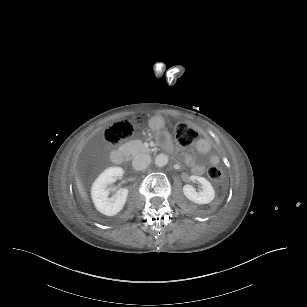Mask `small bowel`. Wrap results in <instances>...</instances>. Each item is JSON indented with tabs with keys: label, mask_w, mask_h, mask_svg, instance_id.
Wrapping results in <instances>:
<instances>
[{
	"label": "small bowel",
	"mask_w": 307,
	"mask_h": 307,
	"mask_svg": "<svg viewBox=\"0 0 307 307\" xmlns=\"http://www.w3.org/2000/svg\"><path fill=\"white\" fill-rule=\"evenodd\" d=\"M211 147L212 143L207 137L200 138L195 145V151L197 153L207 156L206 163L197 162L192 155L187 157L186 163L195 174L201 175L206 171L207 165H217L220 162V158L217 154L210 153Z\"/></svg>",
	"instance_id": "obj_1"
}]
</instances>
